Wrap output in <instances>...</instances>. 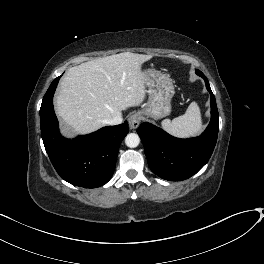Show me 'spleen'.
<instances>
[{
  "instance_id": "obj_1",
  "label": "spleen",
  "mask_w": 264,
  "mask_h": 264,
  "mask_svg": "<svg viewBox=\"0 0 264 264\" xmlns=\"http://www.w3.org/2000/svg\"><path fill=\"white\" fill-rule=\"evenodd\" d=\"M161 127L173 136L187 138L198 135L202 130V118L198 104L192 102L184 115L170 119H165Z\"/></svg>"
}]
</instances>
